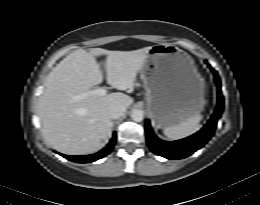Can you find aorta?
<instances>
[{"instance_id":"1","label":"aorta","mask_w":260,"mask_h":205,"mask_svg":"<svg viewBox=\"0 0 260 205\" xmlns=\"http://www.w3.org/2000/svg\"><path fill=\"white\" fill-rule=\"evenodd\" d=\"M143 117H144V112L140 109H134L131 112V118L135 122H141L143 120Z\"/></svg>"}]
</instances>
